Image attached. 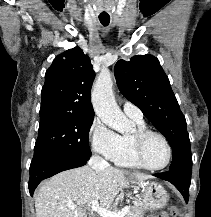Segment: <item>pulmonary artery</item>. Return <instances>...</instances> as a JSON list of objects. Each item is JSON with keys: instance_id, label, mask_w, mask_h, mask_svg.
I'll return each instance as SVG.
<instances>
[{"instance_id": "obj_1", "label": "pulmonary artery", "mask_w": 211, "mask_h": 217, "mask_svg": "<svg viewBox=\"0 0 211 217\" xmlns=\"http://www.w3.org/2000/svg\"><path fill=\"white\" fill-rule=\"evenodd\" d=\"M124 113L130 118L143 119L142 111L133 103L124 101L123 105Z\"/></svg>"}]
</instances>
